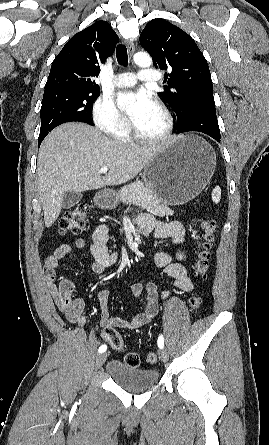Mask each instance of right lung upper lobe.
<instances>
[{"mask_svg":"<svg viewBox=\"0 0 269 445\" xmlns=\"http://www.w3.org/2000/svg\"><path fill=\"white\" fill-rule=\"evenodd\" d=\"M119 38L106 21L75 34L54 59L44 92L62 89L100 91L94 77L114 52Z\"/></svg>","mask_w":269,"mask_h":445,"instance_id":"cb5924a9","label":"right lung upper lobe"}]
</instances>
